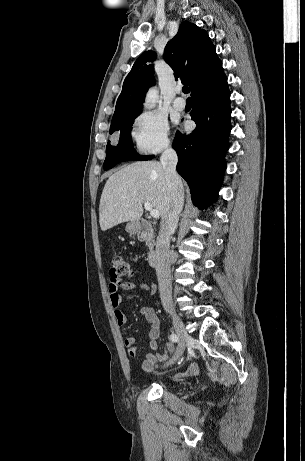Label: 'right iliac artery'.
<instances>
[{"label":"right iliac artery","mask_w":305,"mask_h":461,"mask_svg":"<svg viewBox=\"0 0 305 461\" xmlns=\"http://www.w3.org/2000/svg\"><path fill=\"white\" fill-rule=\"evenodd\" d=\"M170 340H171L172 342H178V341H179V337H178V335H176L175 333H172V334L170 335Z\"/></svg>","instance_id":"right-iliac-artery-1"}]
</instances>
